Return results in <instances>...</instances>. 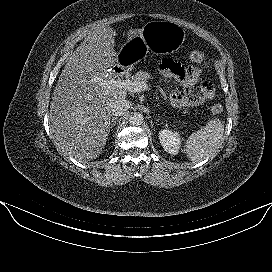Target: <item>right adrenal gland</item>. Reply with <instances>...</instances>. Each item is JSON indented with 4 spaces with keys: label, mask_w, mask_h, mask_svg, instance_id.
Wrapping results in <instances>:
<instances>
[{
    "label": "right adrenal gland",
    "mask_w": 272,
    "mask_h": 272,
    "mask_svg": "<svg viewBox=\"0 0 272 272\" xmlns=\"http://www.w3.org/2000/svg\"><path fill=\"white\" fill-rule=\"evenodd\" d=\"M118 118L117 117H113L112 120H111V125H110V128L112 129L114 126H115V123H116V120Z\"/></svg>",
    "instance_id": "2a0ac1e0"
}]
</instances>
